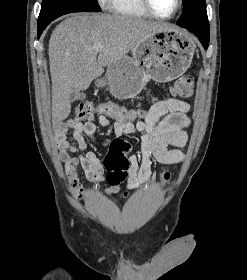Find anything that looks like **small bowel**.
<instances>
[{
	"instance_id": "obj_1",
	"label": "small bowel",
	"mask_w": 247,
	"mask_h": 280,
	"mask_svg": "<svg viewBox=\"0 0 247 280\" xmlns=\"http://www.w3.org/2000/svg\"><path fill=\"white\" fill-rule=\"evenodd\" d=\"M189 110L188 103L170 98L152 104L142 120L134 123L115 121L112 130L116 139L134 134H139L141 139L140 157L136 154L129 157L130 168L124 197L128 196L129 191L149 183L152 159L174 167L184 160L180 148L187 142L185 129L189 125ZM97 124L103 128L110 127V121L105 115L98 116ZM96 131L97 125L94 121L82 123L72 119L61 122L56 128V142L61 151V159L66 165L69 186L78 197H81L83 192L76 175L78 168H82L91 182L105 179L106 171L100 159L94 152L86 151L87 139L99 147H104L113 140H98ZM169 146L175 148L169 149ZM119 192L120 186L117 191L107 188L104 194L112 196Z\"/></svg>"
}]
</instances>
